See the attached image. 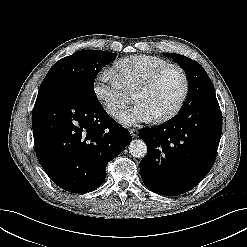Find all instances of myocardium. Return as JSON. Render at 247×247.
<instances>
[{"mask_svg": "<svg viewBox=\"0 0 247 247\" xmlns=\"http://www.w3.org/2000/svg\"><path fill=\"white\" fill-rule=\"evenodd\" d=\"M169 69H177L181 73V75L183 77V81H184V87H183L182 94H181L180 98L178 99L177 103L166 113L161 114L157 117H154V121H156V122H164V121L169 120L170 118L175 116L183 107V105H184V103L188 97L189 90H190V81H189V77H188V74L185 71V69L178 64L164 65V66L152 71L150 74H148L135 87V89L132 92V98L135 101V97L138 93L148 89L162 73H164L165 71H167Z\"/></svg>", "mask_w": 247, "mask_h": 247, "instance_id": "1", "label": "myocardium"}]
</instances>
